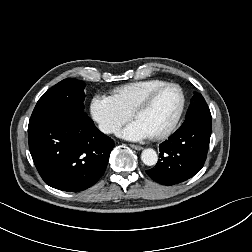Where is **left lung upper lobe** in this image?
<instances>
[{
  "label": "left lung upper lobe",
  "mask_w": 252,
  "mask_h": 252,
  "mask_svg": "<svg viewBox=\"0 0 252 252\" xmlns=\"http://www.w3.org/2000/svg\"><path fill=\"white\" fill-rule=\"evenodd\" d=\"M194 121H212L211 113L203 96L194 93L183 125Z\"/></svg>",
  "instance_id": "obj_1"
}]
</instances>
